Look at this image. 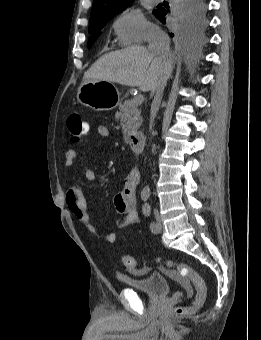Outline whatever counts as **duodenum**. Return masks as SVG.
Masks as SVG:
<instances>
[{
	"label": "duodenum",
	"mask_w": 261,
	"mask_h": 340,
	"mask_svg": "<svg viewBox=\"0 0 261 340\" xmlns=\"http://www.w3.org/2000/svg\"><path fill=\"white\" fill-rule=\"evenodd\" d=\"M129 145L134 154L140 155L141 153H143L145 145L143 134L138 133L131 135L129 138Z\"/></svg>",
	"instance_id": "duodenum-1"
}]
</instances>
